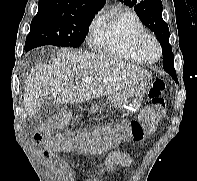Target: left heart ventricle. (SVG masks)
Masks as SVG:
<instances>
[{
  "label": "left heart ventricle",
  "mask_w": 197,
  "mask_h": 181,
  "mask_svg": "<svg viewBox=\"0 0 197 181\" xmlns=\"http://www.w3.org/2000/svg\"><path fill=\"white\" fill-rule=\"evenodd\" d=\"M144 47L146 54L150 59H155L157 57V49L153 42L147 41Z\"/></svg>",
  "instance_id": "b2bd125f"
}]
</instances>
